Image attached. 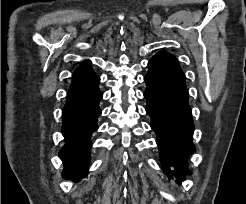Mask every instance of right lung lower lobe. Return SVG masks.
I'll list each match as a JSON object with an SVG mask.
<instances>
[{"mask_svg":"<svg viewBox=\"0 0 246 204\" xmlns=\"http://www.w3.org/2000/svg\"><path fill=\"white\" fill-rule=\"evenodd\" d=\"M89 63L86 61L74 72L63 109L62 133L65 145L59 156L64 163L63 175L75 179L87 175L90 137L98 129L97 118L101 115L100 78Z\"/></svg>","mask_w":246,"mask_h":204,"instance_id":"right-lung-lower-lobe-1","label":"right lung lower lobe"}]
</instances>
